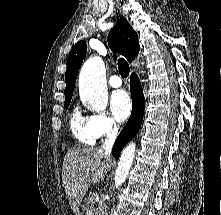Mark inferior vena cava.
<instances>
[{
    "instance_id": "inferior-vena-cava-1",
    "label": "inferior vena cava",
    "mask_w": 221,
    "mask_h": 215,
    "mask_svg": "<svg viewBox=\"0 0 221 215\" xmlns=\"http://www.w3.org/2000/svg\"><path fill=\"white\" fill-rule=\"evenodd\" d=\"M117 132H118L117 128H111L107 132V138L105 139V142L103 143V146L101 147V152L104 154L106 158H110L112 147L117 137ZM99 215H108L106 206H104L101 209Z\"/></svg>"
}]
</instances>
